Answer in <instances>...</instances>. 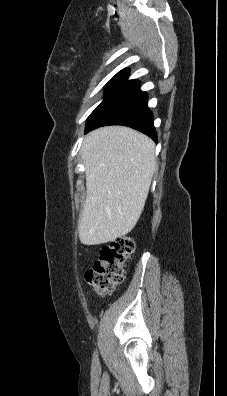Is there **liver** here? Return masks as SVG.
<instances>
[{"mask_svg": "<svg viewBox=\"0 0 227 396\" xmlns=\"http://www.w3.org/2000/svg\"><path fill=\"white\" fill-rule=\"evenodd\" d=\"M154 150L149 137L124 126L87 134L81 148L86 174L78 224L82 244H104L135 227L156 169Z\"/></svg>", "mask_w": 227, "mask_h": 396, "instance_id": "1", "label": "liver"}]
</instances>
